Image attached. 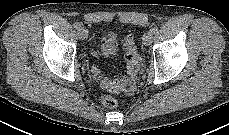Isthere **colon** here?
I'll list each match as a JSON object with an SVG mask.
<instances>
[{"label":"colon","instance_id":"obj_1","mask_svg":"<svg viewBox=\"0 0 229 135\" xmlns=\"http://www.w3.org/2000/svg\"><path fill=\"white\" fill-rule=\"evenodd\" d=\"M123 48L125 50V59L127 62V74L129 78H133L137 75L140 69L141 57L138 53L136 44L131 34L125 35L123 38ZM95 77L99 81L101 87L107 91L106 94L101 96V103L107 108H115L118 103L116 99L110 94L111 92L120 91L124 87V82L109 81L101 77L98 68L92 69Z\"/></svg>","mask_w":229,"mask_h":135}]
</instances>
